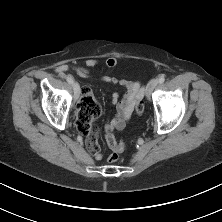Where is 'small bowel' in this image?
<instances>
[{
    "instance_id": "1",
    "label": "small bowel",
    "mask_w": 222,
    "mask_h": 222,
    "mask_svg": "<svg viewBox=\"0 0 222 222\" xmlns=\"http://www.w3.org/2000/svg\"><path fill=\"white\" fill-rule=\"evenodd\" d=\"M108 67H114L117 64L116 58H108L105 62ZM99 65V61L96 59H89L85 63V67H71L68 64H61L56 67V72L64 73L70 69L83 78L91 76V69L96 68ZM102 80L111 84L119 85L124 89V95L120 98L118 92L113 93L112 103L115 105L117 113L113 119H111L105 126L107 130H122L126 124L130 121L136 103L143 98L144 90L142 86L137 82H132L126 79H117L115 77L103 76ZM95 120V119H94ZM94 120L88 127L87 132V146L92 151L95 159H102L103 155L98 148V130L94 126Z\"/></svg>"
}]
</instances>
